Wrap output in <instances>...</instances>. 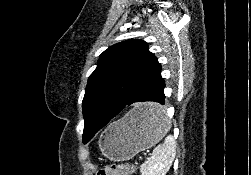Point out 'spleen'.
<instances>
[{
  "label": "spleen",
  "mask_w": 251,
  "mask_h": 175,
  "mask_svg": "<svg viewBox=\"0 0 251 175\" xmlns=\"http://www.w3.org/2000/svg\"><path fill=\"white\" fill-rule=\"evenodd\" d=\"M151 117L159 123L160 129L164 131L165 135L168 129H170V123H168L163 109H156V111L154 109ZM175 155L176 141L173 135H167L164 143H160V145H157L153 149L152 157L148 161H145V163H141V175H165L169 167H171Z\"/></svg>",
  "instance_id": "1"
}]
</instances>
